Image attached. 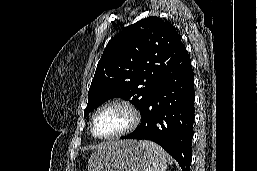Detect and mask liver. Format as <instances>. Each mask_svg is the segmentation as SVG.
Wrapping results in <instances>:
<instances>
[{"mask_svg": "<svg viewBox=\"0 0 257 171\" xmlns=\"http://www.w3.org/2000/svg\"><path fill=\"white\" fill-rule=\"evenodd\" d=\"M114 143H106V144H103V145H101L100 147H99V149H102V148H104V147H106V146H111V145H113Z\"/></svg>", "mask_w": 257, "mask_h": 171, "instance_id": "6515ba94", "label": "liver"}]
</instances>
